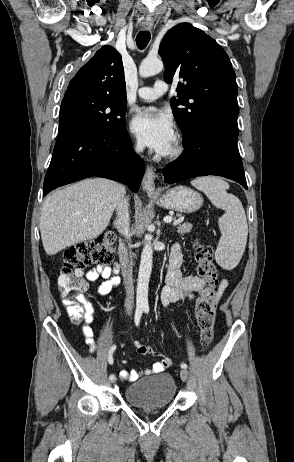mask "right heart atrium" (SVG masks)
<instances>
[{
  "mask_svg": "<svg viewBox=\"0 0 294 462\" xmlns=\"http://www.w3.org/2000/svg\"><path fill=\"white\" fill-rule=\"evenodd\" d=\"M133 147H134L135 151L139 152V151L142 150L143 145H142L140 140L136 139L134 141Z\"/></svg>",
  "mask_w": 294,
  "mask_h": 462,
  "instance_id": "obj_1",
  "label": "right heart atrium"
}]
</instances>
